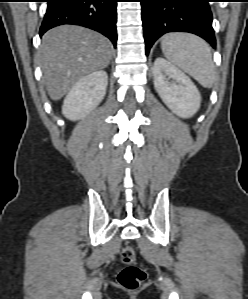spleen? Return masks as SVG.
<instances>
[{"instance_id":"spleen-1","label":"spleen","mask_w":248,"mask_h":299,"mask_svg":"<svg viewBox=\"0 0 248 299\" xmlns=\"http://www.w3.org/2000/svg\"><path fill=\"white\" fill-rule=\"evenodd\" d=\"M161 48L165 57L188 73L203 87L210 88L215 80V66L206 41L189 33L163 36Z\"/></svg>"}]
</instances>
